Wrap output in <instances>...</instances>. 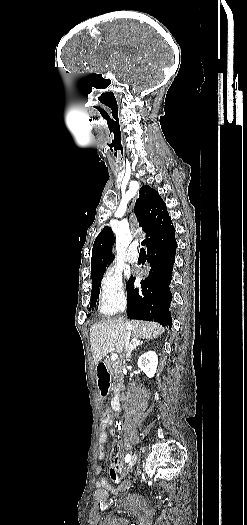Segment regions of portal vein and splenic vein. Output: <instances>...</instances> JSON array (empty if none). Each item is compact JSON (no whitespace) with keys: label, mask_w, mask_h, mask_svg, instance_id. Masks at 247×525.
I'll list each match as a JSON object with an SVG mask.
<instances>
[{"label":"portal vein and splenic vein","mask_w":247,"mask_h":525,"mask_svg":"<svg viewBox=\"0 0 247 525\" xmlns=\"http://www.w3.org/2000/svg\"><path fill=\"white\" fill-rule=\"evenodd\" d=\"M117 358H118L117 353H112L110 355V363H113V361L116 360Z\"/></svg>","instance_id":"portal-vein-and-splenic-vein-1"}]
</instances>
